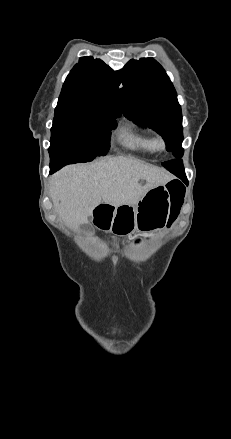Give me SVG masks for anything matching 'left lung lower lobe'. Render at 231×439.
Here are the masks:
<instances>
[{
    "label": "left lung lower lobe",
    "instance_id": "obj_1",
    "mask_svg": "<svg viewBox=\"0 0 231 439\" xmlns=\"http://www.w3.org/2000/svg\"><path fill=\"white\" fill-rule=\"evenodd\" d=\"M163 166L165 168H167L173 174L180 177L181 179L186 180L184 168L182 165V160H180V159L171 160L167 164H164Z\"/></svg>",
    "mask_w": 231,
    "mask_h": 439
}]
</instances>
